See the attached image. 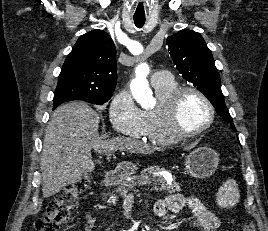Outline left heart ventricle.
<instances>
[{"label": "left heart ventricle", "mask_w": 268, "mask_h": 231, "mask_svg": "<svg viewBox=\"0 0 268 231\" xmlns=\"http://www.w3.org/2000/svg\"><path fill=\"white\" fill-rule=\"evenodd\" d=\"M178 116L179 128L183 131H193L208 120L209 110L197 95L187 93L180 102Z\"/></svg>", "instance_id": "obj_1"}]
</instances>
